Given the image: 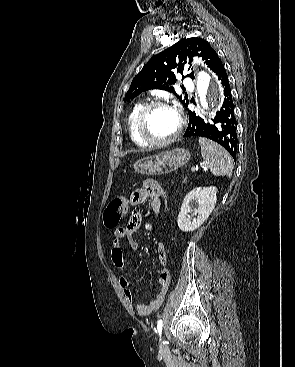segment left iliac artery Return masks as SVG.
I'll list each match as a JSON object with an SVG mask.
<instances>
[{
  "label": "left iliac artery",
  "mask_w": 295,
  "mask_h": 367,
  "mask_svg": "<svg viewBox=\"0 0 295 367\" xmlns=\"http://www.w3.org/2000/svg\"><path fill=\"white\" fill-rule=\"evenodd\" d=\"M162 327H163V321L160 319V320L157 322V331H158L159 336H161V333H162Z\"/></svg>",
  "instance_id": "44dca946"
}]
</instances>
